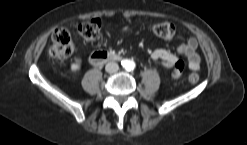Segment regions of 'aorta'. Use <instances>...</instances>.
<instances>
[{"instance_id": "762f6f07", "label": "aorta", "mask_w": 247, "mask_h": 145, "mask_svg": "<svg viewBox=\"0 0 247 145\" xmlns=\"http://www.w3.org/2000/svg\"><path fill=\"white\" fill-rule=\"evenodd\" d=\"M124 67L126 70H133L135 68V62L133 60H126L124 62Z\"/></svg>"}]
</instances>
